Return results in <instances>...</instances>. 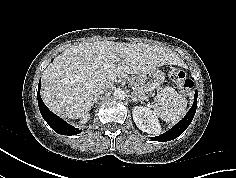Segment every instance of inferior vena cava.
<instances>
[{
    "label": "inferior vena cava",
    "instance_id": "obj_1",
    "mask_svg": "<svg viewBox=\"0 0 236 178\" xmlns=\"http://www.w3.org/2000/svg\"><path fill=\"white\" fill-rule=\"evenodd\" d=\"M110 86H111V82L97 85L93 90V95L95 97H98L99 95L103 94Z\"/></svg>",
    "mask_w": 236,
    "mask_h": 178
}]
</instances>
